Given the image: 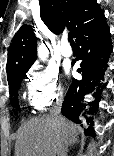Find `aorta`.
<instances>
[{"instance_id":"aorta-1","label":"aorta","mask_w":114,"mask_h":156,"mask_svg":"<svg viewBox=\"0 0 114 156\" xmlns=\"http://www.w3.org/2000/svg\"><path fill=\"white\" fill-rule=\"evenodd\" d=\"M37 51H38V57L43 61L46 60L48 56V51L46 50V48L43 45H40Z\"/></svg>"}]
</instances>
